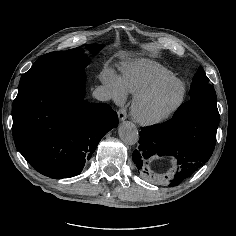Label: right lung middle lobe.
I'll return each instance as SVG.
<instances>
[{
  "label": "right lung middle lobe",
  "instance_id": "1",
  "mask_svg": "<svg viewBox=\"0 0 236 236\" xmlns=\"http://www.w3.org/2000/svg\"><path fill=\"white\" fill-rule=\"evenodd\" d=\"M85 46L93 54L103 48V45L100 44H87ZM88 60V55L81 48L47 53L22 75L18 92L36 82L81 70L87 66Z\"/></svg>",
  "mask_w": 236,
  "mask_h": 236
}]
</instances>
